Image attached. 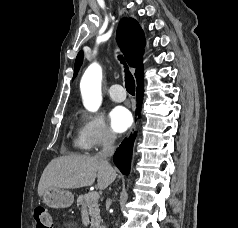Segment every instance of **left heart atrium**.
<instances>
[{"instance_id": "obj_1", "label": "left heart atrium", "mask_w": 238, "mask_h": 228, "mask_svg": "<svg viewBox=\"0 0 238 228\" xmlns=\"http://www.w3.org/2000/svg\"><path fill=\"white\" fill-rule=\"evenodd\" d=\"M112 129L115 132L121 133L127 130L132 124L131 113L122 106L115 107L109 115Z\"/></svg>"}]
</instances>
